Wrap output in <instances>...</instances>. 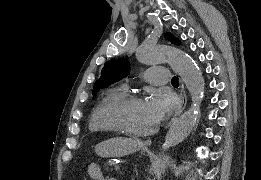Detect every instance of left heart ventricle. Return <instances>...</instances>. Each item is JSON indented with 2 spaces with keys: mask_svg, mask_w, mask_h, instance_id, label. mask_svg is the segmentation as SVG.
Here are the masks:
<instances>
[{
  "mask_svg": "<svg viewBox=\"0 0 261 180\" xmlns=\"http://www.w3.org/2000/svg\"><path fill=\"white\" fill-rule=\"evenodd\" d=\"M116 117L127 135L138 137L150 132L158 121L144 99L134 101L129 106L118 110Z\"/></svg>",
  "mask_w": 261,
  "mask_h": 180,
  "instance_id": "obj_1",
  "label": "left heart ventricle"
}]
</instances>
